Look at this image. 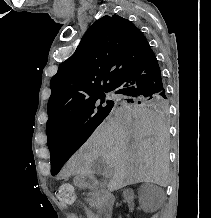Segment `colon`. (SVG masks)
Returning a JSON list of instances; mask_svg holds the SVG:
<instances>
[{
  "mask_svg": "<svg viewBox=\"0 0 211 218\" xmlns=\"http://www.w3.org/2000/svg\"><path fill=\"white\" fill-rule=\"evenodd\" d=\"M57 199L64 204H72L75 202L76 196L72 185L65 183L59 186L56 191Z\"/></svg>",
  "mask_w": 211,
  "mask_h": 218,
  "instance_id": "colon-1",
  "label": "colon"
}]
</instances>
